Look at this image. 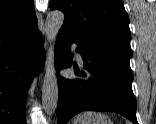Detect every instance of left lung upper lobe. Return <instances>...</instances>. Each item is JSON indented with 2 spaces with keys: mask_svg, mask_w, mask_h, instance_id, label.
I'll list each match as a JSON object with an SVG mask.
<instances>
[{
  "mask_svg": "<svg viewBox=\"0 0 156 124\" xmlns=\"http://www.w3.org/2000/svg\"><path fill=\"white\" fill-rule=\"evenodd\" d=\"M50 9L65 15L61 31L88 50L132 57L129 18L122 0H51Z\"/></svg>",
  "mask_w": 156,
  "mask_h": 124,
  "instance_id": "1",
  "label": "left lung upper lobe"
}]
</instances>
